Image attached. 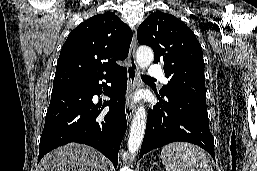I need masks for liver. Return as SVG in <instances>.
Returning <instances> with one entry per match:
<instances>
[{
	"label": "liver",
	"instance_id": "1",
	"mask_svg": "<svg viewBox=\"0 0 257 171\" xmlns=\"http://www.w3.org/2000/svg\"><path fill=\"white\" fill-rule=\"evenodd\" d=\"M106 168L105 157L97 150L69 143L45 155L38 171H105Z\"/></svg>",
	"mask_w": 257,
	"mask_h": 171
}]
</instances>
